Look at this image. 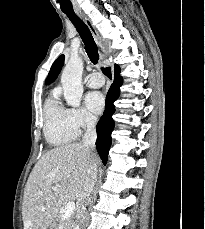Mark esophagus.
<instances>
[{
	"mask_svg": "<svg viewBox=\"0 0 205 229\" xmlns=\"http://www.w3.org/2000/svg\"><path fill=\"white\" fill-rule=\"evenodd\" d=\"M82 18L85 21L86 25L89 27V29H90L93 37L95 38L97 44L99 45L101 54L103 56H105V54H106L105 49H104V47L100 41L99 34H98L97 30L95 29L94 25L92 24V22L90 21V19L88 17L82 15Z\"/></svg>",
	"mask_w": 205,
	"mask_h": 229,
	"instance_id": "esophagus-1",
	"label": "esophagus"
}]
</instances>
